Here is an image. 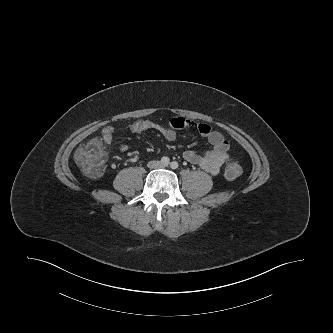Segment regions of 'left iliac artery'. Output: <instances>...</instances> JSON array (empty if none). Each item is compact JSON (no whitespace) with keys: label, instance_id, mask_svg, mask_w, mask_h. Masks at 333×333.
Segmentation results:
<instances>
[{"label":"left iliac artery","instance_id":"left-iliac-artery-1","mask_svg":"<svg viewBox=\"0 0 333 333\" xmlns=\"http://www.w3.org/2000/svg\"><path fill=\"white\" fill-rule=\"evenodd\" d=\"M178 166H179V164H178L176 161H173V162H171V164H170V167H171L172 169H177Z\"/></svg>","mask_w":333,"mask_h":333}]
</instances>
